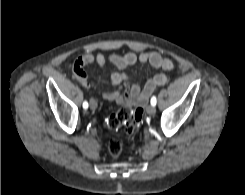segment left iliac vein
<instances>
[{
  "instance_id": "left-iliac-vein-1",
  "label": "left iliac vein",
  "mask_w": 245,
  "mask_h": 195,
  "mask_svg": "<svg viewBox=\"0 0 245 195\" xmlns=\"http://www.w3.org/2000/svg\"><path fill=\"white\" fill-rule=\"evenodd\" d=\"M146 111L149 115H154L156 112V109L153 105H149L147 106Z\"/></svg>"
}]
</instances>
